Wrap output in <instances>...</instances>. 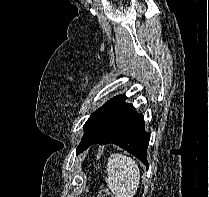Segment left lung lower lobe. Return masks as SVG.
<instances>
[{"label": "left lung lower lobe", "instance_id": "obj_1", "mask_svg": "<svg viewBox=\"0 0 209 197\" xmlns=\"http://www.w3.org/2000/svg\"><path fill=\"white\" fill-rule=\"evenodd\" d=\"M127 97L114 100L84 133L77 147V154L92 144L113 143L136 156L149 168L146 150L150 134L144 130V117L135 112L132 104L125 103Z\"/></svg>", "mask_w": 209, "mask_h": 197}]
</instances>
